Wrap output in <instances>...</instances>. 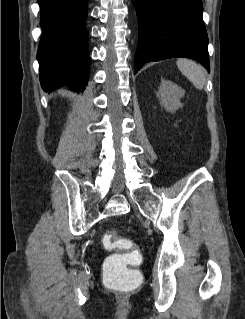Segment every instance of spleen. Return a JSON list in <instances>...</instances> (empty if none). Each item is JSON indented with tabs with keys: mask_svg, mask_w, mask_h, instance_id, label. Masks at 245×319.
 I'll use <instances>...</instances> for the list:
<instances>
[{
	"mask_svg": "<svg viewBox=\"0 0 245 319\" xmlns=\"http://www.w3.org/2000/svg\"><path fill=\"white\" fill-rule=\"evenodd\" d=\"M178 69L201 90L205 85V70L204 68L191 59L180 58L176 62Z\"/></svg>",
	"mask_w": 245,
	"mask_h": 319,
	"instance_id": "1",
	"label": "spleen"
}]
</instances>
